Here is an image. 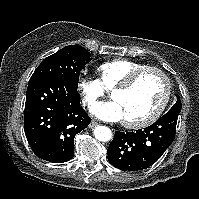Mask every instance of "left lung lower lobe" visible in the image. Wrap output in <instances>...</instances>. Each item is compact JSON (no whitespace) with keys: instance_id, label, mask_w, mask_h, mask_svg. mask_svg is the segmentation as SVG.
<instances>
[{"instance_id":"0a47b994","label":"left lung lower lobe","mask_w":199,"mask_h":199,"mask_svg":"<svg viewBox=\"0 0 199 199\" xmlns=\"http://www.w3.org/2000/svg\"><path fill=\"white\" fill-rule=\"evenodd\" d=\"M179 112L168 111L143 130L116 131L107 153L109 162L118 169L139 171L153 165L175 138Z\"/></svg>"}]
</instances>
